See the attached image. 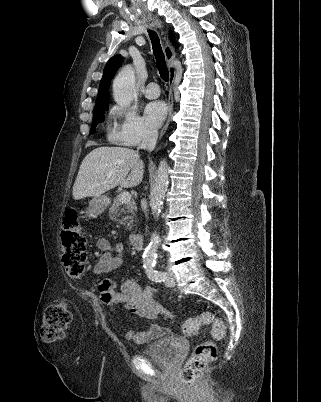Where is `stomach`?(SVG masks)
I'll return each mask as SVG.
<instances>
[{
    "label": "stomach",
    "instance_id": "0dacf381",
    "mask_svg": "<svg viewBox=\"0 0 321 402\" xmlns=\"http://www.w3.org/2000/svg\"><path fill=\"white\" fill-rule=\"evenodd\" d=\"M109 204V198L100 195L95 196L89 201L88 208L85 213L86 219L96 218L98 215L102 214Z\"/></svg>",
    "mask_w": 321,
    "mask_h": 402
}]
</instances>
